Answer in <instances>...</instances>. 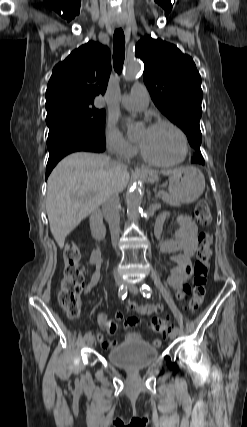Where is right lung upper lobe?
<instances>
[{
    "instance_id": "1",
    "label": "right lung upper lobe",
    "mask_w": 247,
    "mask_h": 427,
    "mask_svg": "<svg viewBox=\"0 0 247 427\" xmlns=\"http://www.w3.org/2000/svg\"><path fill=\"white\" fill-rule=\"evenodd\" d=\"M111 71L109 49L88 42L74 50L52 71L46 90L47 114L69 106H94L105 93Z\"/></svg>"
}]
</instances>
